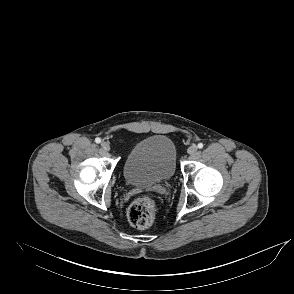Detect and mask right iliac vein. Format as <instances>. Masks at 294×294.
Masks as SVG:
<instances>
[{"label": "right iliac vein", "instance_id": "obj_1", "mask_svg": "<svg viewBox=\"0 0 294 294\" xmlns=\"http://www.w3.org/2000/svg\"><path fill=\"white\" fill-rule=\"evenodd\" d=\"M101 147L105 150V151H110V145L108 142L103 141L101 143Z\"/></svg>", "mask_w": 294, "mask_h": 294}]
</instances>
